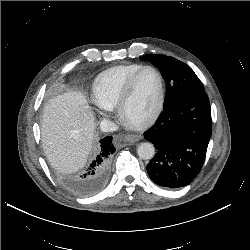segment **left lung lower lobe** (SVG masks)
I'll list each match as a JSON object with an SVG mask.
<instances>
[{
	"mask_svg": "<svg viewBox=\"0 0 250 250\" xmlns=\"http://www.w3.org/2000/svg\"><path fill=\"white\" fill-rule=\"evenodd\" d=\"M211 133V109L205 92L164 107L144 133L157 150L147 165L151 180L168 188L190 184L203 166Z\"/></svg>",
	"mask_w": 250,
	"mask_h": 250,
	"instance_id": "1",
	"label": "left lung lower lobe"
}]
</instances>
